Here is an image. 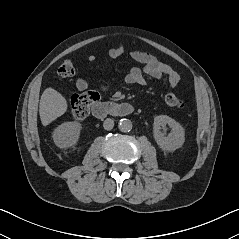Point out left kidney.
Here are the masks:
<instances>
[{"label": "left kidney", "instance_id": "obj_1", "mask_svg": "<svg viewBox=\"0 0 239 239\" xmlns=\"http://www.w3.org/2000/svg\"><path fill=\"white\" fill-rule=\"evenodd\" d=\"M166 125L171 128V132L167 136L165 134ZM153 136L158 146L164 151H175L181 148L185 142L183 127L167 115H159L154 118Z\"/></svg>", "mask_w": 239, "mask_h": 239}]
</instances>
